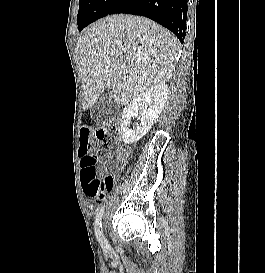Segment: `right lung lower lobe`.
I'll return each instance as SVG.
<instances>
[{
  "label": "right lung lower lobe",
  "instance_id": "1",
  "mask_svg": "<svg viewBox=\"0 0 265 273\" xmlns=\"http://www.w3.org/2000/svg\"><path fill=\"white\" fill-rule=\"evenodd\" d=\"M187 10V0H117L107 15L125 13L148 17L172 31L183 43Z\"/></svg>",
  "mask_w": 265,
  "mask_h": 273
}]
</instances>
